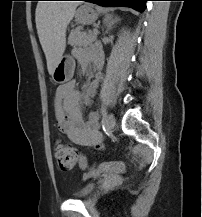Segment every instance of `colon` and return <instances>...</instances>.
<instances>
[{
    "label": "colon",
    "instance_id": "1",
    "mask_svg": "<svg viewBox=\"0 0 202 217\" xmlns=\"http://www.w3.org/2000/svg\"><path fill=\"white\" fill-rule=\"evenodd\" d=\"M54 155L61 171H70L76 162L82 169H88L89 164L85 156L79 154L72 147L65 144H58L55 147ZM126 168L124 162H105L96 167V172H122Z\"/></svg>",
    "mask_w": 202,
    "mask_h": 217
}]
</instances>
